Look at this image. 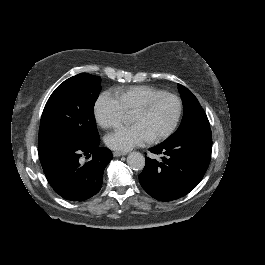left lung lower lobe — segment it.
Returning <instances> with one entry per match:
<instances>
[{
	"instance_id": "left-lung-lower-lobe-1",
	"label": "left lung lower lobe",
	"mask_w": 265,
	"mask_h": 265,
	"mask_svg": "<svg viewBox=\"0 0 265 265\" xmlns=\"http://www.w3.org/2000/svg\"><path fill=\"white\" fill-rule=\"evenodd\" d=\"M149 150L165 157L159 162L146 157V165L139 175L141 186L159 201L178 199L197 186L208 168L212 151L211 129L165 140Z\"/></svg>"
}]
</instances>
